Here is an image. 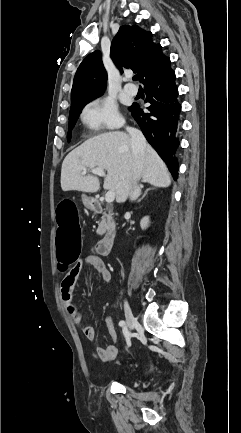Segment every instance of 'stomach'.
<instances>
[{
  "label": "stomach",
  "instance_id": "0dacf381",
  "mask_svg": "<svg viewBox=\"0 0 241 433\" xmlns=\"http://www.w3.org/2000/svg\"><path fill=\"white\" fill-rule=\"evenodd\" d=\"M82 202L86 208L90 209L92 207V200L86 195H82Z\"/></svg>",
  "mask_w": 241,
  "mask_h": 433
}]
</instances>
